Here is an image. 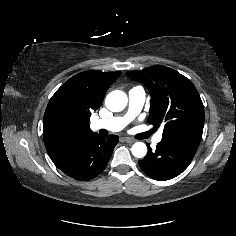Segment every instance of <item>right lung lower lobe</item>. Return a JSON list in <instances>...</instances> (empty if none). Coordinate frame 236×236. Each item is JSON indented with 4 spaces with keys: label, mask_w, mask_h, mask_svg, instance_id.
Returning <instances> with one entry per match:
<instances>
[{
    "label": "right lung lower lobe",
    "mask_w": 236,
    "mask_h": 236,
    "mask_svg": "<svg viewBox=\"0 0 236 236\" xmlns=\"http://www.w3.org/2000/svg\"><path fill=\"white\" fill-rule=\"evenodd\" d=\"M118 141L117 135L105 138L95 134L55 165L75 180H91L104 170Z\"/></svg>",
    "instance_id": "right-lung-lower-lobe-1"
}]
</instances>
